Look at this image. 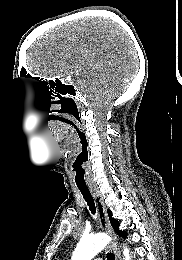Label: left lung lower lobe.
Here are the masks:
<instances>
[{
  "instance_id": "obj_1",
  "label": "left lung lower lobe",
  "mask_w": 182,
  "mask_h": 260,
  "mask_svg": "<svg viewBox=\"0 0 182 260\" xmlns=\"http://www.w3.org/2000/svg\"><path fill=\"white\" fill-rule=\"evenodd\" d=\"M123 238H127V234Z\"/></svg>"
}]
</instances>
